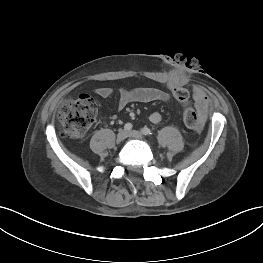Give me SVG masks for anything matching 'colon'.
<instances>
[{
    "instance_id": "colon-1",
    "label": "colon",
    "mask_w": 263,
    "mask_h": 263,
    "mask_svg": "<svg viewBox=\"0 0 263 263\" xmlns=\"http://www.w3.org/2000/svg\"><path fill=\"white\" fill-rule=\"evenodd\" d=\"M176 100L182 104L183 120L187 128L199 133L202 130V119L190 106L189 92L176 86L173 88ZM97 104L90 94H82L76 99L63 104L58 111V120L63 126V134L69 138H81L94 122Z\"/></svg>"
}]
</instances>
